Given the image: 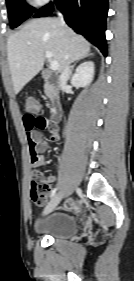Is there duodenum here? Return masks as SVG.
Instances as JSON below:
<instances>
[{
	"instance_id": "duodenum-1",
	"label": "duodenum",
	"mask_w": 134,
	"mask_h": 281,
	"mask_svg": "<svg viewBox=\"0 0 134 281\" xmlns=\"http://www.w3.org/2000/svg\"><path fill=\"white\" fill-rule=\"evenodd\" d=\"M47 88L49 91V94L52 99V104H53V113L51 115V120L54 123H58L61 119V112L59 108V100H58V84L54 81H47Z\"/></svg>"
}]
</instances>
